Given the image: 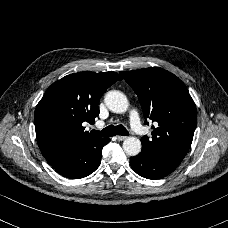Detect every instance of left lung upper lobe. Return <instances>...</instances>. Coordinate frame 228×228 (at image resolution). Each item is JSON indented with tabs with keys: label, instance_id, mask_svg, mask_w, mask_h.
I'll return each instance as SVG.
<instances>
[{
	"label": "left lung upper lobe",
	"instance_id": "obj_1",
	"mask_svg": "<svg viewBox=\"0 0 228 228\" xmlns=\"http://www.w3.org/2000/svg\"><path fill=\"white\" fill-rule=\"evenodd\" d=\"M120 73L137 94L144 116L156 122V127H151L152 137L141 139L142 150L153 156L183 160L197 122L196 106L185 84L159 67Z\"/></svg>",
	"mask_w": 228,
	"mask_h": 228
}]
</instances>
